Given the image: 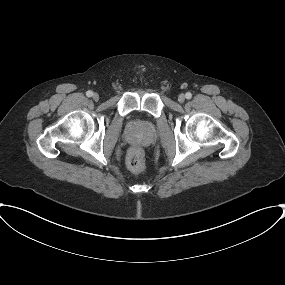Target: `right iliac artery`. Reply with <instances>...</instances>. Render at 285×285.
Here are the masks:
<instances>
[{
  "mask_svg": "<svg viewBox=\"0 0 285 285\" xmlns=\"http://www.w3.org/2000/svg\"><path fill=\"white\" fill-rule=\"evenodd\" d=\"M86 95H87V97H91L93 95V92L89 90L86 92Z\"/></svg>",
  "mask_w": 285,
  "mask_h": 285,
  "instance_id": "obj_1",
  "label": "right iliac artery"
}]
</instances>
